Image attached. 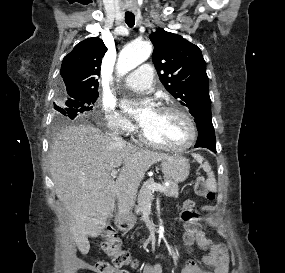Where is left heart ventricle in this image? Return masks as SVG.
<instances>
[{"mask_svg": "<svg viewBox=\"0 0 285 273\" xmlns=\"http://www.w3.org/2000/svg\"><path fill=\"white\" fill-rule=\"evenodd\" d=\"M146 135L153 141L179 145L188 137V126L176 112L156 111L154 117L143 126Z\"/></svg>", "mask_w": 285, "mask_h": 273, "instance_id": "obj_1", "label": "left heart ventricle"}]
</instances>
